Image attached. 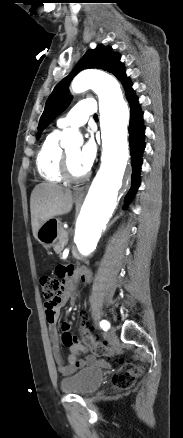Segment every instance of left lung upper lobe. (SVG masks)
<instances>
[{"instance_id": "obj_1", "label": "left lung upper lobe", "mask_w": 183, "mask_h": 438, "mask_svg": "<svg viewBox=\"0 0 183 438\" xmlns=\"http://www.w3.org/2000/svg\"><path fill=\"white\" fill-rule=\"evenodd\" d=\"M111 47L100 44L94 50H88L80 59L72 72L62 79L54 88L45 104L44 112L40 118L38 130H44L71 101V96L67 93L68 85L73 77L81 70L87 68L103 69L115 75L125 86L129 81L126 78L120 55L112 52Z\"/></svg>"}]
</instances>
